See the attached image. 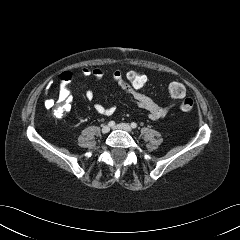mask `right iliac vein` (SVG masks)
Masks as SVG:
<instances>
[{
    "mask_svg": "<svg viewBox=\"0 0 240 240\" xmlns=\"http://www.w3.org/2000/svg\"><path fill=\"white\" fill-rule=\"evenodd\" d=\"M110 131V127L108 125H105L102 127V133L103 134H106Z\"/></svg>",
    "mask_w": 240,
    "mask_h": 240,
    "instance_id": "obj_1",
    "label": "right iliac vein"
}]
</instances>
